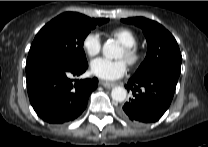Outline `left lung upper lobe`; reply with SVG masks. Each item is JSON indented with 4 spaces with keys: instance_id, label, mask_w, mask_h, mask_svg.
Segmentation results:
<instances>
[{
    "instance_id": "left-lung-upper-lobe-1",
    "label": "left lung upper lobe",
    "mask_w": 208,
    "mask_h": 147,
    "mask_svg": "<svg viewBox=\"0 0 208 147\" xmlns=\"http://www.w3.org/2000/svg\"><path fill=\"white\" fill-rule=\"evenodd\" d=\"M122 21L140 27L148 44L146 58L133 77H141L159 70L180 75L182 56L175 38L168 30L144 17L127 18Z\"/></svg>"
}]
</instances>
